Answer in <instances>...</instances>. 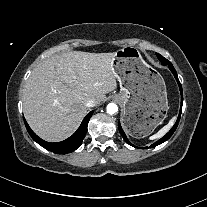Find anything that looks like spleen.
<instances>
[{"label":"spleen","mask_w":207,"mask_h":207,"mask_svg":"<svg viewBox=\"0 0 207 207\" xmlns=\"http://www.w3.org/2000/svg\"><path fill=\"white\" fill-rule=\"evenodd\" d=\"M176 120V116L172 117L168 124L165 125L164 127H162L156 134L152 135L149 139L150 140H154V139H159L162 136H164L169 130L170 128L173 126L174 122Z\"/></svg>","instance_id":"obj_1"}]
</instances>
